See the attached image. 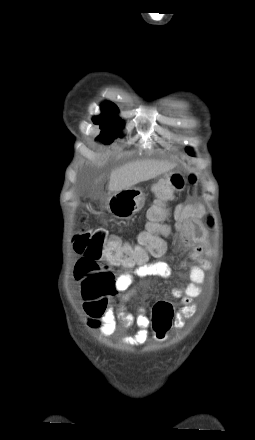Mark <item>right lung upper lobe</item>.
Wrapping results in <instances>:
<instances>
[{"instance_id": "cb5924a9", "label": "right lung upper lobe", "mask_w": 255, "mask_h": 440, "mask_svg": "<svg viewBox=\"0 0 255 440\" xmlns=\"http://www.w3.org/2000/svg\"><path fill=\"white\" fill-rule=\"evenodd\" d=\"M103 107L117 108V106L111 102H106L102 105Z\"/></svg>"}]
</instances>
